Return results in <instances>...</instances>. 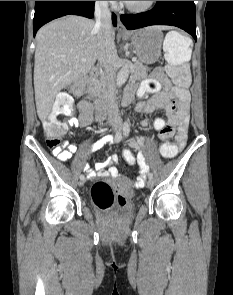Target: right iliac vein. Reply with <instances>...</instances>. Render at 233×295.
<instances>
[{
    "mask_svg": "<svg viewBox=\"0 0 233 295\" xmlns=\"http://www.w3.org/2000/svg\"><path fill=\"white\" fill-rule=\"evenodd\" d=\"M85 181V177L83 179H80V181L78 182L79 186H83Z\"/></svg>",
    "mask_w": 233,
    "mask_h": 295,
    "instance_id": "right-iliac-vein-1",
    "label": "right iliac vein"
}]
</instances>
